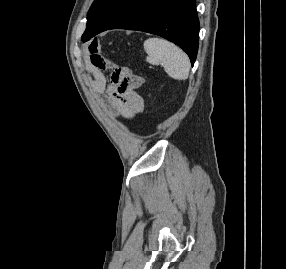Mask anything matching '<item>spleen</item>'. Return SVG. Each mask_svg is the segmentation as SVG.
Instances as JSON below:
<instances>
[{
	"label": "spleen",
	"mask_w": 286,
	"mask_h": 269,
	"mask_svg": "<svg viewBox=\"0 0 286 269\" xmlns=\"http://www.w3.org/2000/svg\"><path fill=\"white\" fill-rule=\"evenodd\" d=\"M147 61L151 64H161L165 72L177 80L188 78L190 61L186 53L173 43L159 38H148L144 42Z\"/></svg>",
	"instance_id": "spleen-1"
}]
</instances>
